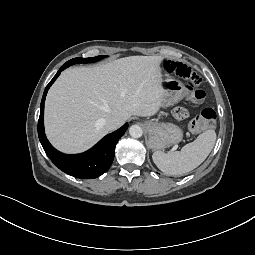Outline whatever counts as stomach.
Returning <instances> with one entry per match:
<instances>
[{
  "label": "stomach",
  "mask_w": 255,
  "mask_h": 255,
  "mask_svg": "<svg viewBox=\"0 0 255 255\" xmlns=\"http://www.w3.org/2000/svg\"><path fill=\"white\" fill-rule=\"evenodd\" d=\"M164 107L171 106L183 98L186 87L177 80L167 79L163 86ZM149 134L148 146L152 150H164L165 148L179 143L183 138L182 130L172 123L145 122Z\"/></svg>",
  "instance_id": "obj_1"
}]
</instances>
